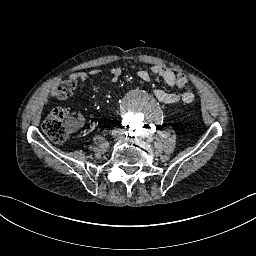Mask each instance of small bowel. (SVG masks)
I'll use <instances>...</instances> for the list:
<instances>
[{
	"instance_id": "c3829d8e",
	"label": "small bowel",
	"mask_w": 256,
	"mask_h": 256,
	"mask_svg": "<svg viewBox=\"0 0 256 256\" xmlns=\"http://www.w3.org/2000/svg\"><path fill=\"white\" fill-rule=\"evenodd\" d=\"M109 74L111 77V81L112 82H117L118 79L120 78L121 74H122V69L120 67H112L109 70ZM151 74L159 76L160 78H162V80L165 82V84L168 87H175L176 85V78L178 76H176L175 72L163 65H155L151 67L150 72L142 70L138 72V77L145 81V82H149L151 79ZM101 75V71L98 69H93L90 71H82V72H78L76 74H74L72 76L73 79L75 80H79L82 82L87 81L90 77H97ZM181 88V87H180ZM155 97L157 98V100L161 103L164 104H173L178 102L179 100H182L184 103H191L194 98L195 95L192 91H185L182 94H178L176 92H168L165 91L163 89H157L154 92Z\"/></svg>"
}]
</instances>
